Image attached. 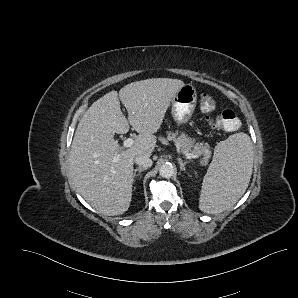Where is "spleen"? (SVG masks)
I'll return each mask as SVG.
<instances>
[{"mask_svg":"<svg viewBox=\"0 0 298 298\" xmlns=\"http://www.w3.org/2000/svg\"><path fill=\"white\" fill-rule=\"evenodd\" d=\"M253 162V145L246 133H235L218 142L203 178L199 209L218 214L231 208L249 185Z\"/></svg>","mask_w":298,"mask_h":298,"instance_id":"1","label":"spleen"}]
</instances>
